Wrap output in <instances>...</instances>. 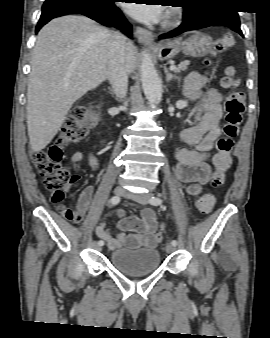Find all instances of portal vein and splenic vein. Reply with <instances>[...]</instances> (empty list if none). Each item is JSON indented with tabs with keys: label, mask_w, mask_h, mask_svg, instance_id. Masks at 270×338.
<instances>
[{
	"label": "portal vein and splenic vein",
	"mask_w": 270,
	"mask_h": 338,
	"mask_svg": "<svg viewBox=\"0 0 270 338\" xmlns=\"http://www.w3.org/2000/svg\"><path fill=\"white\" fill-rule=\"evenodd\" d=\"M169 69H170L171 71H173V70L176 69V66H175V65H171ZM79 76H81V74H79Z\"/></svg>",
	"instance_id": "1"
}]
</instances>
